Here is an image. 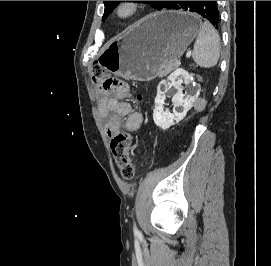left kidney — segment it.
<instances>
[{
    "label": "left kidney",
    "instance_id": "left-kidney-1",
    "mask_svg": "<svg viewBox=\"0 0 271 266\" xmlns=\"http://www.w3.org/2000/svg\"><path fill=\"white\" fill-rule=\"evenodd\" d=\"M193 74H189L183 69L174 71L168 77L170 81L169 88L175 87L177 93L172 97V103L174 105L173 113L164 111V100L166 98L165 91L158 90L155 98V108L153 110L154 123L163 130L168 129L172 125H175L186 116L187 112L193 107L194 101L197 99V94L194 96L189 94H183L182 78L185 79V83L189 86L192 83ZM179 109V110H177Z\"/></svg>",
    "mask_w": 271,
    "mask_h": 266
}]
</instances>
